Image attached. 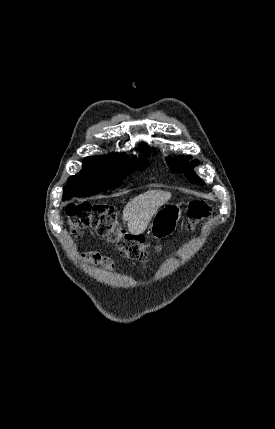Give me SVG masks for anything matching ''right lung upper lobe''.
<instances>
[{"label": "right lung upper lobe", "instance_id": "obj_1", "mask_svg": "<svg viewBox=\"0 0 275 429\" xmlns=\"http://www.w3.org/2000/svg\"><path fill=\"white\" fill-rule=\"evenodd\" d=\"M139 150L143 154L141 158H145V156H150V149L146 145L145 146L139 145ZM123 157H128V156L122 155V154H110L107 156H90L85 158L83 163L107 166V165H110L112 162L119 160Z\"/></svg>", "mask_w": 275, "mask_h": 429}]
</instances>
